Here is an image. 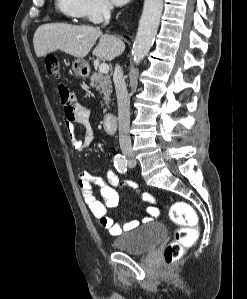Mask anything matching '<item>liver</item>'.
Wrapping results in <instances>:
<instances>
[{
	"instance_id": "liver-1",
	"label": "liver",
	"mask_w": 247,
	"mask_h": 299,
	"mask_svg": "<svg viewBox=\"0 0 247 299\" xmlns=\"http://www.w3.org/2000/svg\"><path fill=\"white\" fill-rule=\"evenodd\" d=\"M98 38L99 42L93 50L94 56L111 61L123 53L125 44L122 40L113 35H103L99 28L90 25L43 24L34 34L33 45L37 57L60 50L73 57L83 58Z\"/></svg>"
}]
</instances>
